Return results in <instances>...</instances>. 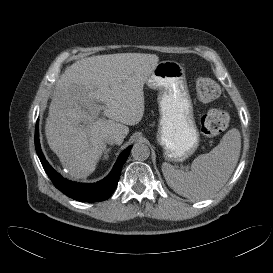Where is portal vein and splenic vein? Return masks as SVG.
I'll return each instance as SVG.
<instances>
[{"label": "portal vein and splenic vein", "mask_w": 273, "mask_h": 273, "mask_svg": "<svg viewBox=\"0 0 273 273\" xmlns=\"http://www.w3.org/2000/svg\"><path fill=\"white\" fill-rule=\"evenodd\" d=\"M100 109H101V106L97 107L95 110L92 111V115H94L95 117H97L99 115ZM87 125H88L87 122L83 123V126H87Z\"/></svg>", "instance_id": "obj_1"}]
</instances>
